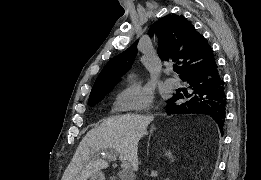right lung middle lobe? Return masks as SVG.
<instances>
[{"label": "right lung middle lobe", "instance_id": "dd1d6c3e", "mask_svg": "<svg viewBox=\"0 0 261 180\" xmlns=\"http://www.w3.org/2000/svg\"><path fill=\"white\" fill-rule=\"evenodd\" d=\"M104 96H105V95L90 98V99L88 100V105L91 106V107L94 106L95 104H97L98 102H100V101L104 98Z\"/></svg>", "mask_w": 261, "mask_h": 180}]
</instances>
